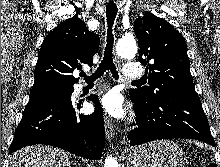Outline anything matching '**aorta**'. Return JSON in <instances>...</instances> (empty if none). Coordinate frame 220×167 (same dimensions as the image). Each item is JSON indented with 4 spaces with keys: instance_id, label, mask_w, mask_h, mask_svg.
Wrapping results in <instances>:
<instances>
[{
    "instance_id": "obj_1",
    "label": "aorta",
    "mask_w": 220,
    "mask_h": 167,
    "mask_svg": "<svg viewBox=\"0 0 220 167\" xmlns=\"http://www.w3.org/2000/svg\"><path fill=\"white\" fill-rule=\"evenodd\" d=\"M116 52L122 58L134 57L137 53L136 41L133 37H124L116 44ZM104 167H118V162L111 156L105 160Z\"/></svg>"
}]
</instances>
